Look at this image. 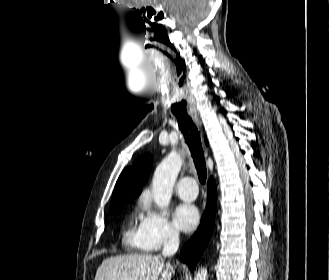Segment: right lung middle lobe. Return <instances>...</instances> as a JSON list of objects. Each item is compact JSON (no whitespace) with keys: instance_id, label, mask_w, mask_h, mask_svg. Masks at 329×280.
<instances>
[{"instance_id":"obj_1","label":"right lung middle lobe","mask_w":329,"mask_h":280,"mask_svg":"<svg viewBox=\"0 0 329 280\" xmlns=\"http://www.w3.org/2000/svg\"><path fill=\"white\" fill-rule=\"evenodd\" d=\"M130 199L127 200H123L120 201L119 203H117L115 206L110 208V213L111 214H117L119 213L126 205V203L129 201Z\"/></svg>"}]
</instances>
